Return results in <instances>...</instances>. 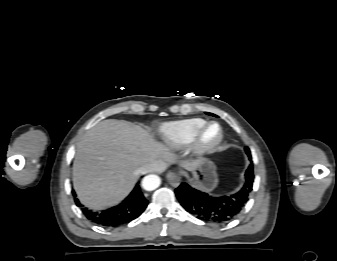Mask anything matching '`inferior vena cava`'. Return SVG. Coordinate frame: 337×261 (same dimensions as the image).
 I'll return each instance as SVG.
<instances>
[{"label": "inferior vena cava", "mask_w": 337, "mask_h": 261, "mask_svg": "<svg viewBox=\"0 0 337 261\" xmlns=\"http://www.w3.org/2000/svg\"><path fill=\"white\" fill-rule=\"evenodd\" d=\"M166 167V164L162 161H157L154 163L146 164L140 169V174H146L149 172H155L163 170Z\"/></svg>", "instance_id": "602c4592"}]
</instances>
